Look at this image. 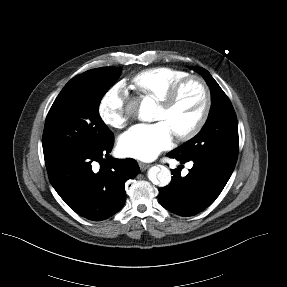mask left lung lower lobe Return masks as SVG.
<instances>
[{
    "label": "left lung lower lobe",
    "instance_id": "1",
    "mask_svg": "<svg viewBox=\"0 0 287 287\" xmlns=\"http://www.w3.org/2000/svg\"><path fill=\"white\" fill-rule=\"evenodd\" d=\"M167 156L182 164L193 162V167L185 177H181L180 167L171 170L173 176L170 184L159 189L161 205L180 216H193L210 206L225 187L235 167L207 154L182 156L171 151Z\"/></svg>",
    "mask_w": 287,
    "mask_h": 287
}]
</instances>
